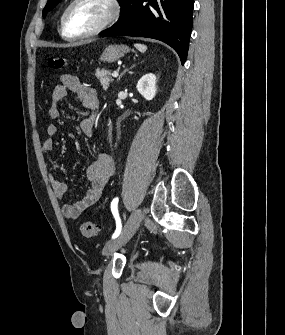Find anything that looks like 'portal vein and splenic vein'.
Segmentation results:
<instances>
[{
  "mask_svg": "<svg viewBox=\"0 0 285 335\" xmlns=\"http://www.w3.org/2000/svg\"><path fill=\"white\" fill-rule=\"evenodd\" d=\"M112 76H113V78H118L119 74H118V72H113Z\"/></svg>",
  "mask_w": 285,
  "mask_h": 335,
  "instance_id": "obj_1",
  "label": "portal vein and splenic vein"
}]
</instances>
